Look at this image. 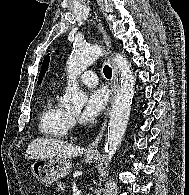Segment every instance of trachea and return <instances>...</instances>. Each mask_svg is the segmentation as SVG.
Masks as SVG:
<instances>
[{"label":"trachea","instance_id":"1","mask_svg":"<svg viewBox=\"0 0 189 195\" xmlns=\"http://www.w3.org/2000/svg\"><path fill=\"white\" fill-rule=\"evenodd\" d=\"M103 72L107 79H110L112 77V69L109 65H105Z\"/></svg>","mask_w":189,"mask_h":195}]
</instances>
